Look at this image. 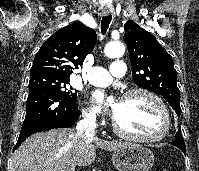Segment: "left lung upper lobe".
Returning a JSON list of instances; mask_svg holds the SVG:
<instances>
[{
  "mask_svg": "<svg viewBox=\"0 0 199 171\" xmlns=\"http://www.w3.org/2000/svg\"><path fill=\"white\" fill-rule=\"evenodd\" d=\"M124 29L123 40L129 51L135 83L162 96L180 116V91L171 55L134 21H127Z\"/></svg>",
  "mask_w": 199,
  "mask_h": 171,
  "instance_id": "5c2ea615",
  "label": "left lung upper lobe"
}]
</instances>
